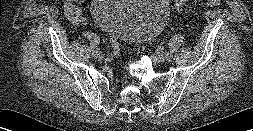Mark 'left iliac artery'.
Wrapping results in <instances>:
<instances>
[{
	"mask_svg": "<svg viewBox=\"0 0 253 131\" xmlns=\"http://www.w3.org/2000/svg\"><path fill=\"white\" fill-rule=\"evenodd\" d=\"M156 50L159 51V52H162V51L165 50V47L162 46V45H159V46L156 47Z\"/></svg>",
	"mask_w": 253,
	"mask_h": 131,
	"instance_id": "44dca946",
	"label": "left iliac artery"
}]
</instances>
